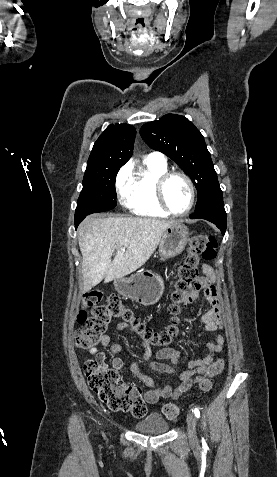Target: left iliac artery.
<instances>
[{
	"label": "left iliac artery",
	"mask_w": 277,
	"mask_h": 477,
	"mask_svg": "<svg viewBox=\"0 0 277 477\" xmlns=\"http://www.w3.org/2000/svg\"><path fill=\"white\" fill-rule=\"evenodd\" d=\"M194 414L197 418L200 417V411L197 408L194 409Z\"/></svg>",
	"instance_id": "left-iliac-artery-1"
}]
</instances>
